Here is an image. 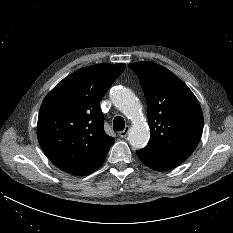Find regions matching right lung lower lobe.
I'll use <instances>...</instances> for the list:
<instances>
[{
  "instance_id": "right-lung-lower-lobe-1",
  "label": "right lung lower lobe",
  "mask_w": 233,
  "mask_h": 233,
  "mask_svg": "<svg viewBox=\"0 0 233 233\" xmlns=\"http://www.w3.org/2000/svg\"><path fill=\"white\" fill-rule=\"evenodd\" d=\"M104 160H105V159H103L97 166H95V167L92 168L90 171H88L87 173H85V174H83V175H81V176L88 175V174L94 172L95 170H97V169L103 164Z\"/></svg>"
}]
</instances>
